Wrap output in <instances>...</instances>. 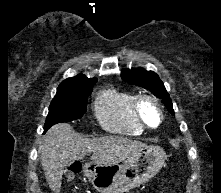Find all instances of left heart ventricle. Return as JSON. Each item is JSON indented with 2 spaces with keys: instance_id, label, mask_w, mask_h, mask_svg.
<instances>
[{
  "instance_id": "obj_1",
  "label": "left heart ventricle",
  "mask_w": 221,
  "mask_h": 193,
  "mask_svg": "<svg viewBox=\"0 0 221 193\" xmlns=\"http://www.w3.org/2000/svg\"><path fill=\"white\" fill-rule=\"evenodd\" d=\"M142 114L144 118L152 125H156L158 123V112L154 105L150 103H146L142 107Z\"/></svg>"
}]
</instances>
